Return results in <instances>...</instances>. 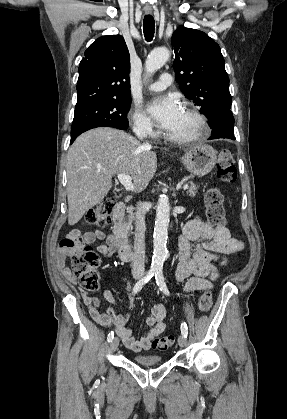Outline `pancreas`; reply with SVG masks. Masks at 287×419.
<instances>
[{
    "instance_id": "cf45deb5",
    "label": "pancreas",
    "mask_w": 287,
    "mask_h": 419,
    "mask_svg": "<svg viewBox=\"0 0 287 419\" xmlns=\"http://www.w3.org/2000/svg\"><path fill=\"white\" fill-rule=\"evenodd\" d=\"M197 189H198V187L194 183H191L190 186L188 187L187 194L190 197H194L196 195ZM133 211H134V208L132 206H129L127 208L128 215L126 216V219H125V222H124V225L126 226L127 229L132 228V222L135 218Z\"/></svg>"
}]
</instances>
